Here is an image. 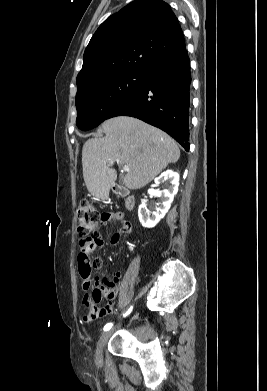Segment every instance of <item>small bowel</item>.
I'll return each instance as SVG.
<instances>
[{
    "label": "small bowel",
    "mask_w": 267,
    "mask_h": 391,
    "mask_svg": "<svg viewBox=\"0 0 267 391\" xmlns=\"http://www.w3.org/2000/svg\"><path fill=\"white\" fill-rule=\"evenodd\" d=\"M109 222H120L121 227L111 237V244L114 245L118 242L121 233H131L132 224L123 219L118 213H104L102 215V223L107 224ZM90 253H79L78 255V270L82 278V287L85 291L84 305L88 309V316L86 319H95L109 312L113 306V301L118 294V286L121 281L122 275L120 272H116L111 278L100 276L96 273L101 267V260L89 257ZM105 297L107 302L101 306V300Z\"/></svg>",
    "instance_id": "c3829d8e"
}]
</instances>
